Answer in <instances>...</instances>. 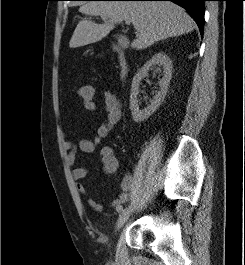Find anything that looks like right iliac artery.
Returning a JSON list of instances; mask_svg holds the SVG:
<instances>
[{
    "label": "right iliac artery",
    "instance_id": "obj_1",
    "mask_svg": "<svg viewBox=\"0 0 245 265\" xmlns=\"http://www.w3.org/2000/svg\"><path fill=\"white\" fill-rule=\"evenodd\" d=\"M116 210H117V212H121L123 210V206L122 205H118L116 207Z\"/></svg>",
    "mask_w": 245,
    "mask_h": 265
}]
</instances>
